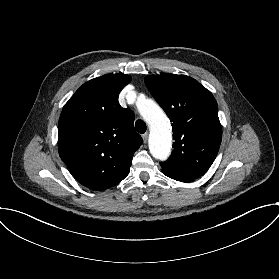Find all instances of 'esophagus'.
<instances>
[{"label":"esophagus","instance_id":"esophagus-1","mask_svg":"<svg viewBox=\"0 0 279 279\" xmlns=\"http://www.w3.org/2000/svg\"><path fill=\"white\" fill-rule=\"evenodd\" d=\"M142 139H143L144 143H147V141H148V133H144L142 135Z\"/></svg>","mask_w":279,"mask_h":279}]
</instances>
